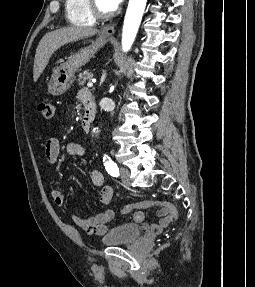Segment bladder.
Returning a JSON list of instances; mask_svg holds the SVG:
<instances>
[{
  "instance_id": "obj_1",
  "label": "bladder",
  "mask_w": 255,
  "mask_h": 287,
  "mask_svg": "<svg viewBox=\"0 0 255 287\" xmlns=\"http://www.w3.org/2000/svg\"><path fill=\"white\" fill-rule=\"evenodd\" d=\"M144 229L135 223H121L112 227L102 237L104 245L128 244L136 241Z\"/></svg>"
}]
</instances>
